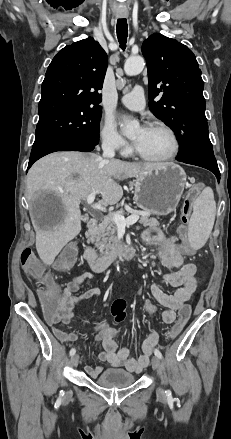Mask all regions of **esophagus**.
<instances>
[{"label":"esophagus","instance_id":"esophagus-1","mask_svg":"<svg viewBox=\"0 0 231 439\" xmlns=\"http://www.w3.org/2000/svg\"><path fill=\"white\" fill-rule=\"evenodd\" d=\"M127 14H120V17H126Z\"/></svg>","mask_w":231,"mask_h":439}]
</instances>
